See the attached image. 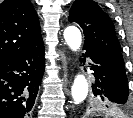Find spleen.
<instances>
[{
    "label": "spleen",
    "instance_id": "obj_1",
    "mask_svg": "<svg viewBox=\"0 0 133 118\" xmlns=\"http://www.w3.org/2000/svg\"><path fill=\"white\" fill-rule=\"evenodd\" d=\"M117 116H118V118H123L124 115L123 114H118Z\"/></svg>",
    "mask_w": 133,
    "mask_h": 118
}]
</instances>
